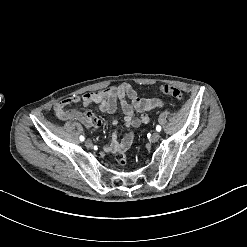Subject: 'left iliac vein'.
Listing matches in <instances>:
<instances>
[{
    "mask_svg": "<svg viewBox=\"0 0 247 247\" xmlns=\"http://www.w3.org/2000/svg\"><path fill=\"white\" fill-rule=\"evenodd\" d=\"M159 138H160L159 132H154L150 139V142L155 143L159 140Z\"/></svg>",
    "mask_w": 247,
    "mask_h": 247,
    "instance_id": "4c4485c4",
    "label": "left iliac vein"
}]
</instances>
